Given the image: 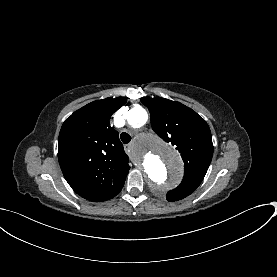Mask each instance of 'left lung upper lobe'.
I'll return each instance as SVG.
<instances>
[{"label":"left lung upper lobe","mask_w":277,"mask_h":277,"mask_svg":"<svg viewBox=\"0 0 277 277\" xmlns=\"http://www.w3.org/2000/svg\"><path fill=\"white\" fill-rule=\"evenodd\" d=\"M149 109L151 126L166 142L176 146L184 161L181 184L167 193L168 201H178L190 195L202 182L213 156L211 131L196 112L180 102L165 98L143 97Z\"/></svg>","instance_id":"5c2ea615"}]
</instances>
